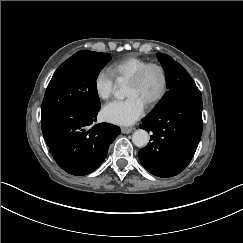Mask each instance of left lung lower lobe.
Here are the masks:
<instances>
[{
    "label": "left lung lower lobe",
    "mask_w": 243,
    "mask_h": 243,
    "mask_svg": "<svg viewBox=\"0 0 243 243\" xmlns=\"http://www.w3.org/2000/svg\"><path fill=\"white\" fill-rule=\"evenodd\" d=\"M140 128L151 132L148 145L138 152L143 167L158 177H173L189 164L201 138L202 98L183 95L147 115Z\"/></svg>",
    "instance_id": "obj_1"
}]
</instances>
